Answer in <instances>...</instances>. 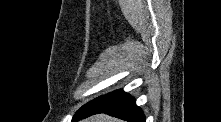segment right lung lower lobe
I'll return each mask as SVG.
<instances>
[{
    "label": "right lung lower lobe",
    "instance_id": "right-lung-lower-lobe-1",
    "mask_svg": "<svg viewBox=\"0 0 221 122\" xmlns=\"http://www.w3.org/2000/svg\"><path fill=\"white\" fill-rule=\"evenodd\" d=\"M98 113H106L129 122H145L144 113L136 105L134 98L122 90L113 91L86 103L77 111L73 120Z\"/></svg>",
    "mask_w": 221,
    "mask_h": 122
}]
</instances>
